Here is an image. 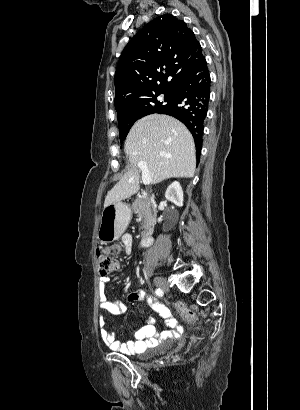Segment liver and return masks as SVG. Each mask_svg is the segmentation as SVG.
I'll list each match as a JSON object with an SVG mask.
<instances>
[{
	"label": "liver",
	"instance_id": "6515ba94",
	"mask_svg": "<svg viewBox=\"0 0 300 410\" xmlns=\"http://www.w3.org/2000/svg\"><path fill=\"white\" fill-rule=\"evenodd\" d=\"M124 150L130 168L108 192L104 207L138 192L140 162L147 164L152 184L172 177L194 176V139L185 125L171 116L152 114L138 120L126 138Z\"/></svg>",
	"mask_w": 300,
	"mask_h": 410
}]
</instances>
